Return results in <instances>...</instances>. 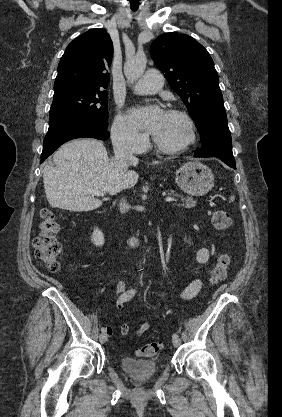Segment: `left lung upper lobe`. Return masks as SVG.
<instances>
[{
	"label": "left lung upper lobe",
	"mask_w": 282,
	"mask_h": 417,
	"mask_svg": "<svg viewBox=\"0 0 282 417\" xmlns=\"http://www.w3.org/2000/svg\"><path fill=\"white\" fill-rule=\"evenodd\" d=\"M150 51L198 129L210 116L226 114L214 62L201 44L185 34L164 33L152 42Z\"/></svg>",
	"instance_id": "5c2ea615"
}]
</instances>
